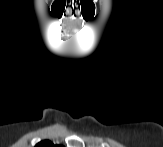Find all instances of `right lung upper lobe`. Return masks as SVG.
Wrapping results in <instances>:
<instances>
[{"mask_svg":"<svg viewBox=\"0 0 163 147\" xmlns=\"http://www.w3.org/2000/svg\"><path fill=\"white\" fill-rule=\"evenodd\" d=\"M35 147H57L49 140L39 142Z\"/></svg>","mask_w":163,"mask_h":147,"instance_id":"1","label":"right lung upper lobe"}]
</instances>
